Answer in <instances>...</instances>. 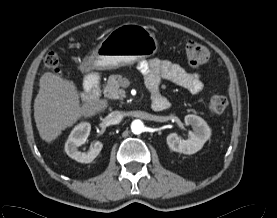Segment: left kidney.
Segmentation results:
<instances>
[{
  "label": "left kidney",
  "mask_w": 277,
  "mask_h": 218,
  "mask_svg": "<svg viewBox=\"0 0 277 218\" xmlns=\"http://www.w3.org/2000/svg\"><path fill=\"white\" fill-rule=\"evenodd\" d=\"M184 121L187 126L193 127V131L189 132V138L181 140L177 133H170L166 140L172 151L190 155L203 147L211 136V129L206 121L197 115H186Z\"/></svg>",
  "instance_id": "1"
}]
</instances>
